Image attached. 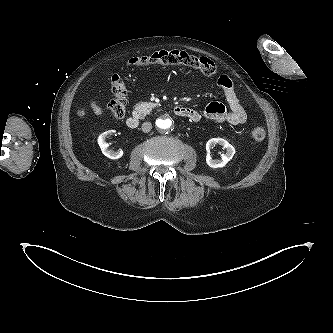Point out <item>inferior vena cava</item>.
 <instances>
[{
	"label": "inferior vena cava",
	"mask_w": 333,
	"mask_h": 333,
	"mask_svg": "<svg viewBox=\"0 0 333 333\" xmlns=\"http://www.w3.org/2000/svg\"><path fill=\"white\" fill-rule=\"evenodd\" d=\"M151 129H152V124H151L150 122H144V123L142 124V131H143L144 133H148V132H150Z\"/></svg>",
	"instance_id": "1"
}]
</instances>
